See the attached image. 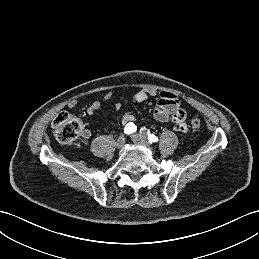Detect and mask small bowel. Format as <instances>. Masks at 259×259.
Masks as SVG:
<instances>
[{
	"mask_svg": "<svg viewBox=\"0 0 259 259\" xmlns=\"http://www.w3.org/2000/svg\"><path fill=\"white\" fill-rule=\"evenodd\" d=\"M157 92L155 90H140L136 92L133 96L134 101L137 103H144L150 97L156 96ZM112 92H107L102 100H96L92 102L87 107V114L94 115L102 106H104L111 98ZM70 108H74L76 106V101L72 100L68 103ZM118 110V107H116ZM153 115L156 120L160 122H167L171 121L173 123V127L176 131L186 132L187 131V124L186 120V111L181 107V100L180 98L169 91H162L160 92V98L154 108ZM134 117L127 113L124 114L122 117V123L127 125L128 123H133ZM91 135L89 129H83L81 132V136L84 139H88Z\"/></svg>",
	"mask_w": 259,
	"mask_h": 259,
	"instance_id": "c3829d8e",
	"label": "small bowel"
}]
</instances>
